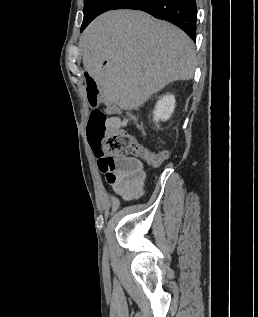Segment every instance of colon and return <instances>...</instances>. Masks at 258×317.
Listing matches in <instances>:
<instances>
[{"label":"colon","instance_id":"obj_1","mask_svg":"<svg viewBox=\"0 0 258 317\" xmlns=\"http://www.w3.org/2000/svg\"><path fill=\"white\" fill-rule=\"evenodd\" d=\"M86 93L88 103L93 108L89 114L86 135L94 153L140 158L151 166H157L165 159L161 152L156 153L144 148L125 130L110 126V115L97 108L101 102L99 88L89 77L86 80Z\"/></svg>","mask_w":258,"mask_h":317}]
</instances>
